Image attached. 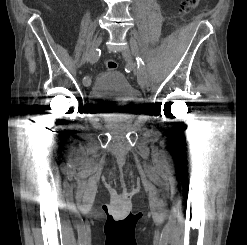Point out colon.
I'll list each match as a JSON object with an SVG mask.
<instances>
[{
  "label": "colon",
  "instance_id": "obj_1",
  "mask_svg": "<svg viewBox=\"0 0 247 245\" xmlns=\"http://www.w3.org/2000/svg\"><path fill=\"white\" fill-rule=\"evenodd\" d=\"M198 3H199V0H182L181 8H180L181 14L186 15L190 13L197 7ZM105 67L108 70H115L117 69L118 64L114 60H107L105 62Z\"/></svg>",
  "mask_w": 247,
  "mask_h": 245
}]
</instances>
